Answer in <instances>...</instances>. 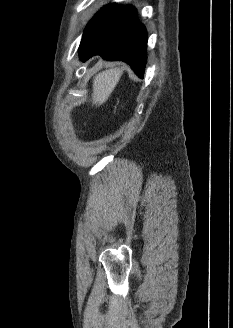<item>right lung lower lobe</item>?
<instances>
[{
    "label": "right lung lower lobe",
    "instance_id": "right-lung-lower-lobe-1",
    "mask_svg": "<svg viewBox=\"0 0 233 328\" xmlns=\"http://www.w3.org/2000/svg\"><path fill=\"white\" fill-rule=\"evenodd\" d=\"M147 49V32L131 6L110 4L101 9L85 29L79 47L85 62L94 55L110 61H124L143 78Z\"/></svg>",
    "mask_w": 233,
    "mask_h": 328
}]
</instances>
